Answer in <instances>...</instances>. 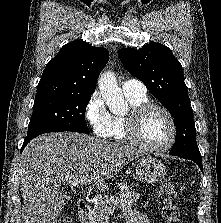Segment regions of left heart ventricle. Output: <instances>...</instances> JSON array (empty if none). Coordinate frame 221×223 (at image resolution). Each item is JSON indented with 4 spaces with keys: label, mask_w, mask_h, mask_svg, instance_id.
Listing matches in <instances>:
<instances>
[{
    "label": "left heart ventricle",
    "mask_w": 221,
    "mask_h": 223,
    "mask_svg": "<svg viewBox=\"0 0 221 223\" xmlns=\"http://www.w3.org/2000/svg\"><path fill=\"white\" fill-rule=\"evenodd\" d=\"M170 133L167 116L157 109L146 112L138 128L139 139L152 146L164 145L169 140Z\"/></svg>",
    "instance_id": "1"
}]
</instances>
